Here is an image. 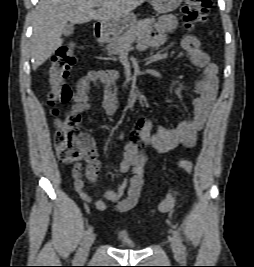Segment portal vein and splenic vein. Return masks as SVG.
Here are the masks:
<instances>
[{"mask_svg":"<svg viewBox=\"0 0 254 267\" xmlns=\"http://www.w3.org/2000/svg\"><path fill=\"white\" fill-rule=\"evenodd\" d=\"M96 7H100V4H96Z\"/></svg>","mask_w":254,"mask_h":267,"instance_id":"obj_1","label":"portal vein and splenic vein"}]
</instances>
